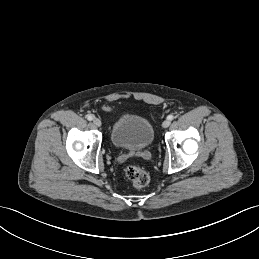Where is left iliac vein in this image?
Masks as SVG:
<instances>
[{
    "mask_svg": "<svg viewBox=\"0 0 259 259\" xmlns=\"http://www.w3.org/2000/svg\"><path fill=\"white\" fill-rule=\"evenodd\" d=\"M170 123H171L170 120L166 119V120L163 121L162 127L167 128V127H169Z\"/></svg>",
    "mask_w": 259,
    "mask_h": 259,
    "instance_id": "4c4485c4",
    "label": "left iliac vein"
}]
</instances>
